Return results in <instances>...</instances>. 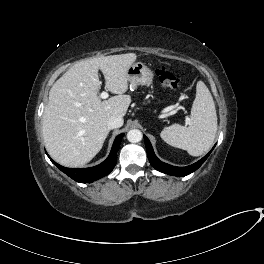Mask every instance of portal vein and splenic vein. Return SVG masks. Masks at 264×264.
<instances>
[{
  "mask_svg": "<svg viewBox=\"0 0 264 264\" xmlns=\"http://www.w3.org/2000/svg\"><path fill=\"white\" fill-rule=\"evenodd\" d=\"M108 93L107 92H105V91H103L102 93H101V95H100V97L102 98V99H106V98H108ZM186 124H190V121H189V119H186Z\"/></svg>",
  "mask_w": 264,
  "mask_h": 264,
  "instance_id": "18ae733b",
  "label": "portal vein and splenic vein"
}]
</instances>
